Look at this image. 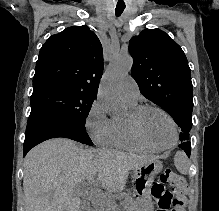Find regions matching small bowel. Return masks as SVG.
<instances>
[{"mask_svg":"<svg viewBox=\"0 0 219 211\" xmlns=\"http://www.w3.org/2000/svg\"><path fill=\"white\" fill-rule=\"evenodd\" d=\"M154 198L157 203V211H170L172 205V195L162 189H158L154 192Z\"/></svg>","mask_w":219,"mask_h":211,"instance_id":"c3829d8e","label":"small bowel"}]
</instances>
